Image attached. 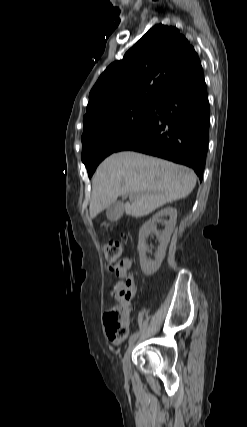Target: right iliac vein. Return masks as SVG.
<instances>
[{
    "mask_svg": "<svg viewBox=\"0 0 247 427\" xmlns=\"http://www.w3.org/2000/svg\"><path fill=\"white\" fill-rule=\"evenodd\" d=\"M135 345V341L131 342L130 345L128 346L124 358H123V370L124 372H128L130 369V358H131V353L132 350L134 348Z\"/></svg>",
    "mask_w": 247,
    "mask_h": 427,
    "instance_id": "obj_1",
    "label": "right iliac vein"
}]
</instances>
